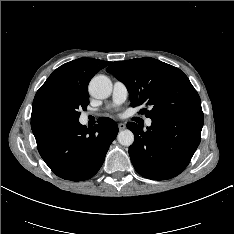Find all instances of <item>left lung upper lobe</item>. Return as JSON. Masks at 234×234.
I'll list each match as a JSON object with an SVG mask.
<instances>
[{
    "label": "left lung upper lobe",
    "instance_id": "1",
    "mask_svg": "<svg viewBox=\"0 0 234 234\" xmlns=\"http://www.w3.org/2000/svg\"><path fill=\"white\" fill-rule=\"evenodd\" d=\"M107 72L123 82L131 106L142 104L147 117L158 119L180 112L202 110L197 91L178 68L154 58L144 57L112 63Z\"/></svg>",
    "mask_w": 234,
    "mask_h": 234
}]
</instances>
